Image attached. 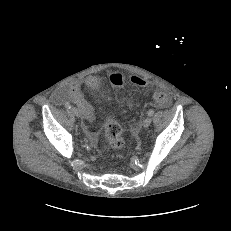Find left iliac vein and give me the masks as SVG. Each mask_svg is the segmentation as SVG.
Masks as SVG:
<instances>
[{
	"label": "left iliac vein",
	"instance_id": "obj_1",
	"mask_svg": "<svg viewBox=\"0 0 231 231\" xmlns=\"http://www.w3.org/2000/svg\"><path fill=\"white\" fill-rule=\"evenodd\" d=\"M151 124V118L150 117H146L143 121V127L144 128H148Z\"/></svg>",
	"mask_w": 231,
	"mask_h": 231
}]
</instances>
